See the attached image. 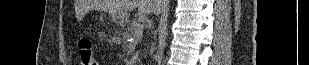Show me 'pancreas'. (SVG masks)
Masks as SVG:
<instances>
[{
    "mask_svg": "<svg viewBox=\"0 0 309 65\" xmlns=\"http://www.w3.org/2000/svg\"><path fill=\"white\" fill-rule=\"evenodd\" d=\"M139 25H141V21L139 19L133 20L129 24V29H128L129 34L133 35L136 31H138L139 30ZM141 30H143V29H141Z\"/></svg>",
    "mask_w": 309,
    "mask_h": 65,
    "instance_id": "pancreas-1",
    "label": "pancreas"
}]
</instances>
